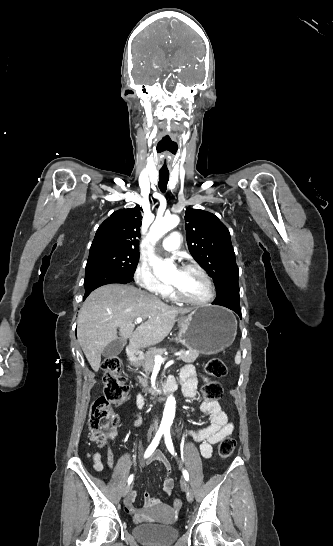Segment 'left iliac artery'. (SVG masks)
<instances>
[{
	"instance_id": "44dca946",
	"label": "left iliac artery",
	"mask_w": 333,
	"mask_h": 546,
	"mask_svg": "<svg viewBox=\"0 0 333 546\" xmlns=\"http://www.w3.org/2000/svg\"><path fill=\"white\" fill-rule=\"evenodd\" d=\"M164 439H165L166 447L169 450V452L173 456H176L177 453L174 450V446H173V443H172V438H171V434H170L169 429L164 430ZM183 475H184L185 480L188 481L189 480V474H188V472L186 470H183Z\"/></svg>"
}]
</instances>
